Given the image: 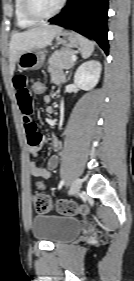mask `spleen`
Returning <instances> with one entry per match:
<instances>
[{
  "label": "spleen",
  "mask_w": 134,
  "mask_h": 281,
  "mask_svg": "<svg viewBox=\"0 0 134 281\" xmlns=\"http://www.w3.org/2000/svg\"><path fill=\"white\" fill-rule=\"evenodd\" d=\"M81 55L84 59L88 58L94 51L95 43L87 38L80 36Z\"/></svg>",
  "instance_id": "obj_1"
}]
</instances>
